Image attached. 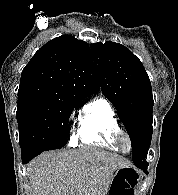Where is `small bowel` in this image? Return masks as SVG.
<instances>
[{"label": "small bowel", "mask_w": 178, "mask_h": 195, "mask_svg": "<svg viewBox=\"0 0 178 195\" xmlns=\"http://www.w3.org/2000/svg\"><path fill=\"white\" fill-rule=\"evenodd\" d=\"M118 193H119L118 195H132V192L126 188H122V190H120V192Z\"/></svg>", "instance_id": "c3829d8e"}]
</instances>
